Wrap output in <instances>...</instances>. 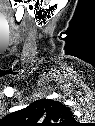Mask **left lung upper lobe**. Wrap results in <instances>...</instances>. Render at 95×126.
<instances>
[{
	"mask_svg": "<svg viewBox=\"0 0 95 126\" xmlns=\"http://www.w3.org/2000/svg\"><path fill=\"white\" fill-rule=\"evenodd\" d=\"M7 120L17 126H71L74 118L71 110L62 102L40 99L9 114Z\"/></svg>",
	"mask_w": 95,
	"mask_h": 126,
	"instance_id": "5c2ea615",
	"label": "left lung upper lobe"
}]
</instances>
